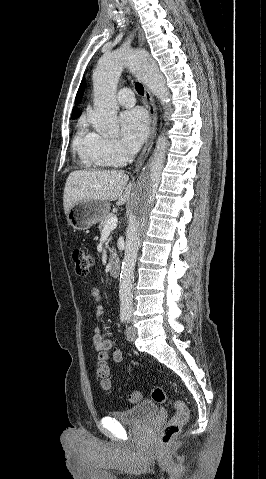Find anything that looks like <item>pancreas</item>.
Returning a JSON list of instances; mask_svg holds the SVG:
<instances>
[{"mask_svg":"<svg viewBox=\"0 0 266 479\" xmlns=\"http://www.w3.org/2000/svg\"><path fill=\"white\" fill-rule=\"evenodd\" d=\"M111 217H114V215L112 213H109L107 214L101 221H100V224H99V231L102 232L107 221L111 218Z\"/></svg>","mask_w":266,"mask_h":479,"instance_id":"1","label":"pancreas"}]
</instances>
